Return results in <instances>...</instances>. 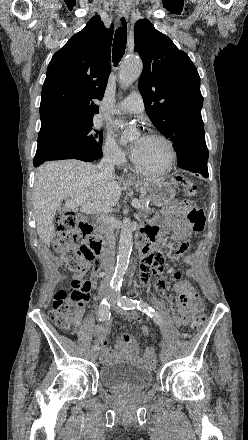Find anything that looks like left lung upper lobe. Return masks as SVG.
<instances>
[{"label":"left lung upper lobe","mask_w":248,"mask_h":440,"mask_svg":"<svg viewBox=\"0 0 248 440\" xmlns=\"http://www.w3.org/2000/svg\"><path fill=\"white\" fill-rule=\"evenodd\" d=\"M134 39V50L143 61L139 90L151 121L173 142L178 164L207 160L203 96L196 67L147 19L135 24Z\"/></svg>","instance_id":"5c2ea615"}]
</instances>
